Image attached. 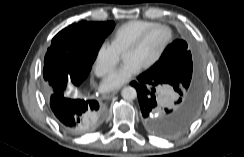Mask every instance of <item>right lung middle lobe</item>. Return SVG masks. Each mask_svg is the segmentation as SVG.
Returning a JSON list of instances; mask_svg holds the SVG:
<instances>
[{
  "instance_id": "obj_1",
  "label": "right lung middle lobe",
  "mask_w": 244,
  "mask_h": 157,
  "mask_svg": "<svg viewBox=\"0 0 244 157\" xmlns=\"http://www.w3.org/2000/svg\"><path fill=\"white\" fill-rule=\"evenodd\" d=\"M115 23L81 21L60 31L44 60L45 93L53 95L70 82L83 81L91 70L104 39Z\"/></svg>"
}]
</instances>
